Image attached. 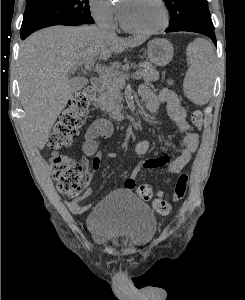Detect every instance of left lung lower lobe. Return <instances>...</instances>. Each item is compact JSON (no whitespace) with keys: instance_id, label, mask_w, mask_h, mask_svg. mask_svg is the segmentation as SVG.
<instances>
[{"instance_id":"0a47b994","label":"left lung lower lobe","mask_w":245,"mask_h":300,"mask_svg":"<svg viewBox=\"0 0 245 300\" xmlns=\"http://www.w3.org/2000/svg\"><path fill=\"white\" fill-rule=\"evenodd\" d=\"M176 31H189V32H196V33L206 35L209 38H211V40L215 45H217L216 37L214 33V27H207V26L196 25V24H183L179 27L166 30V32H176Z\"/></svg>"}]
</instances>
